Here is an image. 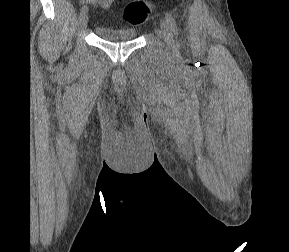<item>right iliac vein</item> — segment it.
Wrapping results in <instances>:
<instances>
[{"instance_id": "right-iliac-vein-1", "label": "right iliac vein", "mask_w": 289, "mask_h": 252, "mask_svg": "<svg viewBox=\"0 0 289 252\" xmlns=\"http://www.w3.org/2000/svg\"><path fill=\"white\" fill-rule=\"evenodd\" d=\"M78 22H79V26L81 28L86 27L87 23H88V15H87V13H80Z\"/></svg>"}]
</instances>
